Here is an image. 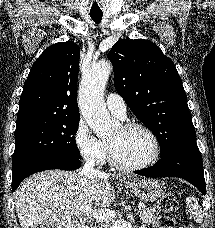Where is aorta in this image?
<instances>
[{
  "label": "aorta",
  "instance_id": "1",
  "mask_svg": "<svg viewBox=\"0 0 215 228\" xmlns=\"http://www.w3.org/2000/svg\"><path fill=\"white\" fill-rule=\"evenodd\" d=\"M112 70L110 62H99L92 66L89 76L83 78L79 90L80 112L91 130L102 138L112 132L113 120L103 104L101 92Z\"/></svg>",
  "mask_w": 215,
  "mask_h": 228
}]
</instances>
